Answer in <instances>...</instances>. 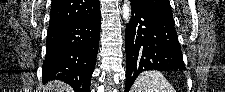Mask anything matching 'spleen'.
Here are the masks:
<instances>
[{
    "instance_id": "3e777b00",
    "label": "spleen",
    "mask_w": 225,
    "mask_h": 92,
    "mask_svg": "<svg viewBox=\"0 0 225 92\" xmlns=\"http://www.w3.org/2000/svg\"><path fill=\"white\" fill-rule=\"evenodd\" d=\"M130 92H176L159 71H145L135 80Z\"/></svg>"
}]
</instances>
